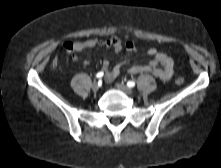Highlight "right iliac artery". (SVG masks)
I'll return each instance as SVG.
<instances>
[{"label":"right iliac artery","instance_id":"82829eb1","mask_svg":"<svg viewBox=\"0 0 221 168\" xmlns=\"http://www.w3.org/2000/svg\"><path fill=\"white\" fill-rule=\"evenodd\" d=\"M96 77H97V78H102V77H103V72H98V73L96 74Z\"/></svg>","mask_w":221,"mask_h":168}]
</instances>
